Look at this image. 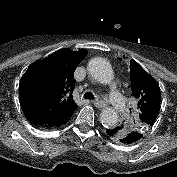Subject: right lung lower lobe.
Wrapping results in <instances>:
<instances>
[{
  "instance_id": "right-lung-lower-lobe-1",
  "label": "right lung lower lobe",
  "mask_w": 177,
  "mask_h": 177,
  "mask_svg": "<svg viewBox=\"0 0 177 177\" xmlns=\"http://www.w3.org/2000/svg\"><path fill=\"white\" fill-rule=\"evenodd\" d=\"M26 116L29 119L30 123L36 126L37 128L52 129V128L60 126V125H57L55 122L48 121L38 115L26 114Z\"/></svg>"
}]
</instances>
